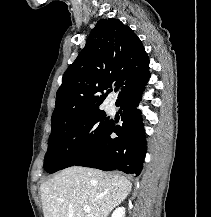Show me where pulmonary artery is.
<instances>
[{"label":"pulmonary artery","instance_id":"e3ab8cb5","mask_svg":"<svg viewBox=\"0 0 211 217\" xmlns=\"http://www.w3.org/2000/svg\"><path fill=\"white\" fill-rule=\"evenodd\" d=\"M107 109H108V111H112V110H113V106L109 105V106L107 107Z\"/></svg>","mask_w":211,"mask_h":217}]
</instances>
